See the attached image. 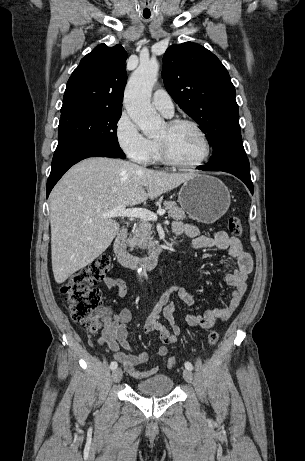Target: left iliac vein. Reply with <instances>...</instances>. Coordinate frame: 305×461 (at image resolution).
<instances>
[{
	"instance_id": "left-iliac-vein-1",
	"label": "left iliac vein",
	"mask_w": 305,
	"mask_h": 461,
	"mask_svg": "<svg viewBox=\"0 0 305 461\" xmlns=\"http://www.w3.org/2000/svg\"><path fill=\"white\" fill-rule=\"evenodd\" d=\"M183 377H184V379H185L186 382L192 383V381H193V375H192L191 370H189V369H184V370H183Z\"/></svg>"
}]
</instances>
